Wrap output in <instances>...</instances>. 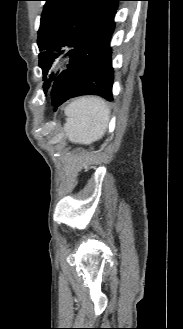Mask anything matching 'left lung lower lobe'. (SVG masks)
<instances>
[{"mask_svg": "<svg viewBox=\"0 0 183 329\" xmlns=\"http://www.w3.org/2000/svg\"><path fill=\"white\" fill-rule=\"evenodd\" d=\"M117 9L118 3L87 31L71 56L68 68L53 81L54 110L66 100L80 95H99L108 101L113 99L111 39Z\"/></svg>", "mask_w": 183, "mask_h": 329, "instance_id": "left-lung-lower-lobe-1", "label": "left lung lower lobe"}]
</instances>
